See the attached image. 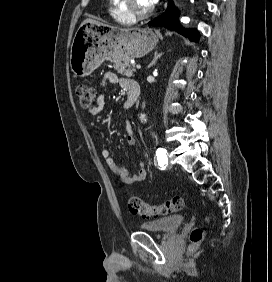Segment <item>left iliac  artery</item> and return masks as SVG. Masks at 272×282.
I'll use <instances>...</instances> for the list:
<instances>
[{"instance_id": "1", "label": "left iliac artery", "mask_w": 272, "mask_h": 282, "mask_svg": "<svg viewBox=\"0 0 272 282\" xmlns=\"http://www.w3.org/2000/svg\"><path fill=\"white\" fill-rule=\"evenodd\" d=\"M156 157L158 165L162 168H165L166 164H168L167 150L163 148H158L156 151Z\"/></svg>"}]
</instances>
